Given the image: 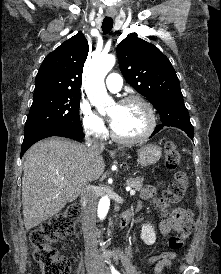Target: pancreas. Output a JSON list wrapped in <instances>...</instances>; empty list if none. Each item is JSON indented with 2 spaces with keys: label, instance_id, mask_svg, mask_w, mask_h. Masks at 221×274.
Returning <instances> with one entry per match:
<instances>
[{
  "label": "pancreas",
  "instance_id": "pancreas-1",
  "mask_svg": "<svg viewBox=\"0 0 221 274\" xmlns=\"http://www.w3.org/2000/svg\"><path fill=\"white\" fill-rule=\"evenodd\" d=\"M127 185L134 188L136 191H140L143 187V178L136 177L130 178L126 181Z\"/></svg>",
  "mask_w": 221,
  "mask_h": 274
}]
</instances>
